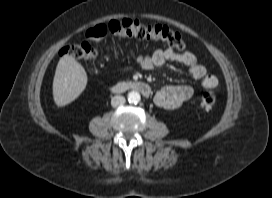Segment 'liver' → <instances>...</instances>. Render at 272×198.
Returning <instances> with one entry per match:
<instances>
[{"mask_svg":"<svg viewBox=\"0 0 272 198\" xmlns=\"http://www.w3.org/2000/svg\"><path fill=\"white\" fill-rule=\"evenodd\" d=\"M87 85L85 69L71 55L60 58L53 80V98L57 106L74 101Z\"/></svg>","mask_w":272,"mask_h":198,"instance_id":"1","label":"liver"}]
</instances>
